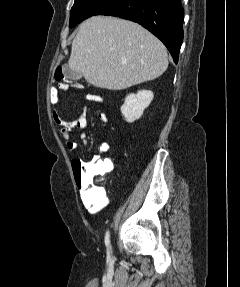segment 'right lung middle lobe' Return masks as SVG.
<instances>
[{"label": "right lung middle lobe", "instance_id": "obj_1", "mask_svg": "<svg viewBox=\"0 0 240 287\" xmlns=\"http://www.w3.org/2000/svg\"><path fill=\"white\" fill-rule=\"evenodd\" d=\"M107 0H75L70 12L69 26L74 27L93 16Z\"/></svg>", "mask_w": 240, "mask_h": 287}]
</instances>
